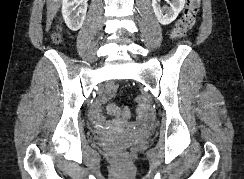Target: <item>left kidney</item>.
<instances>
[{
	"label": "left kidney",
	"mask_w": 244,
	"mask_h": 179,
	"mask_svg": "<svg viewBox=\"0 0 244 179\" xmlns=\"http://www.w3.org/2000/svg\"><path fill=\"white\" fill-rule=\"evenodd\" d=\"M159 2L160 0H152V8L158 22H160L162 26H168V24L174 22L185 6V0H172V2H170V8H168V10H163V8H160Z\"/></svg>",
	"instance_id": "1"
}]
</instances>
